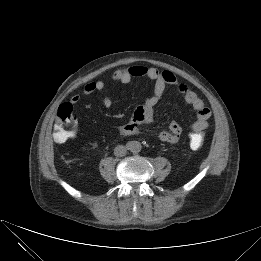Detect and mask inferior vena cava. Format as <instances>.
Here are the masks:
<instances>
[{"label":"inferior vena cava","mask_w":261,"mask_h":261,"mask_svg":"<svg viewBox=\"0 0 261 261\" xmlns=\"http://www.w3.org/2000/svg\"><path fill=\"white\" fill-rule=\"evenodd\" d=\"M126 153H127V148L123 145H118L114 149V154L117 157H123L126 155Z\"/></svg>","instance_id":"obj_1"}]
</instances>
